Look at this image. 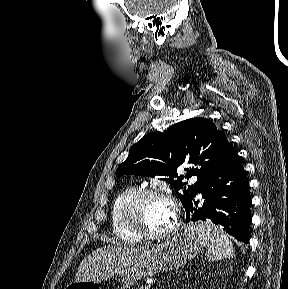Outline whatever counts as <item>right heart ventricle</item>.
<instances>
[{
	"instance_id": "obj_1",
	"label": "right heart ventricle",
	"mask_w": 288,
	"mask_h": 289,
	"mask_svg": "<svg viewBox=\"0 0 288 289\" xmlns=\"http://www.w3.org/2000/svg\"><path fill=\"white\" fill-rule=\"evenodd\" d=\"M138 190V187L135 185L125 187L114 198L111 206L110 219L113 235L125 244H138L141 242L140 238L127 229L123 218V210L126 203L138 192Z\"/></svg>"
}]
</instances>
